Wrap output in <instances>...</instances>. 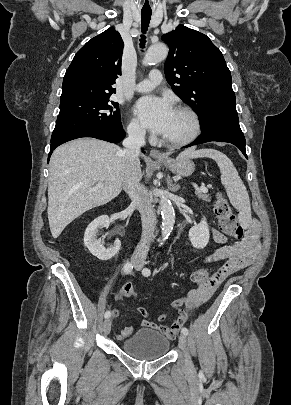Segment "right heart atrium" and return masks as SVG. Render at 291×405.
<instances>
[{
  "mask_svg": "<svg viewBox=\"0 0 291 405\" xmlns=\"http://www.w3.org/2000/svg\"><path fill=\"white\" fill-rule=\"evenodd\" d=\"M128 135L135 140H143L146 132L142 125L136 120H130L126 126Z\"/></svg>",
  "mask_w": 291,
  "mask_h": 405,
  "instance_id": "1",
  "label": "right heart atrium"
}]
</instances>
